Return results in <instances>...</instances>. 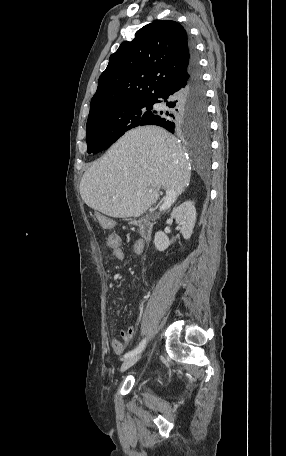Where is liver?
<instances>
[{
    "mask_svg": "<svg viewBox=\"0 0 286 456\" xmlns=\"http://www.w3.org/2000/svg\"><path fill=\"white\" fill-rule=\"evenodd\" d=\"M185 154V148L165 129L135 128L85 171L81 198L107 216L138 217L157 201L156 187L174 191L175 197L184 191L191 176Z\"/></svg>",
    "mask_w": 286,
    "mask_h": 456,
    "instance_id": "1",
    "label": "liver"
}]
</instances>
